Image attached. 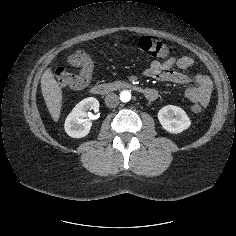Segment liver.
I'll return each mask as SVG.
<instances>
[{
	"instance_id": "obj_1",
	"label": "liver",
	"mask_w": 236,
	"mask_h": 236,
	"mask_svg": "<svg viewBox=\"0 0 236 236\" xmlns=\"http://www.w3.org/2000/svg\"><path fill=\"white\" fill-rule=\"evenodd\" d=\"M41 90L52 119L57 122L62 107V88L56 81L51 68L45 70L41 76Z\"/></svg>"
}]
</instances>
